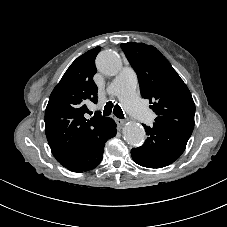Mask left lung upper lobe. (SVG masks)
Returning a JSON list of instances; mask_svg holds the SVG:
<instances>
[{
	"instance_id": "left-lung-upper-lobe-1",
	"label": "left lung upper lobe",
	"mask_w": 227,
	"mask_h": 227,
	"mask_svg": "<svg viewBox=\"0 0 227 227\" xmlns=\"http://www.w3.org/2000/svg\"><path fill=\"white\" fill-rule=\"evenodd\" d=\"M138 75L141 96L150 100L155 124L188 137L194 128L195 104L188 87L159 50L144 43H122Z\"/></svg>"
}]
</instances>
